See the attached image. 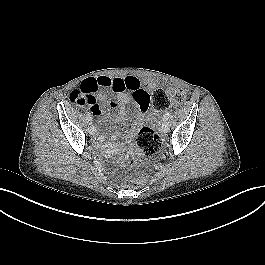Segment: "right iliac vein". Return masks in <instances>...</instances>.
<instances>
[{
    "label": "right iliac vein",
    "instance_id": "1",
    "mask_svg": "<svg viewBox=\"0 0 265 265\" xmlns=\"http://www.w3.org/2000/svg\"><path fill=\"white\" fill-rule=\"evenodd\" d=\"M87 130H88L89 134H91V135L95 134V131H96L95 127L92 123H89Z\"/></svg>",
    "mask_w": 265,
    "mask_h": 265
}]
</instances>
